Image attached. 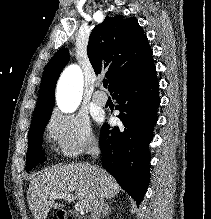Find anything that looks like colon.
<instances>
[{"label": "colon", "mask_w": 211, "mask_h": 219, "mask_svg": "<svg viewBox=\"0 0 211 219\" xmlns=\"http://www.w3.org/2000/svg\"><path fill=\"white\" fill-rule=\"evenodd\" d=\"M66 214L64 212L60 213L59 218L60 219H66Z\"/></svg>", "instance_id": "colon-1"}]
</instances>
